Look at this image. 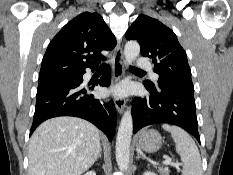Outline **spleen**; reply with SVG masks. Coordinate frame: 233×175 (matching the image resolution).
Returning <instances> with one entry per match:
<instances>
[{"mask_svg": "<svg viewBox=\"0 0 233 175\" xmlns=\"http://www.w3.org/2000/svg\"><path fill=\"white\" fill-rule=\"evenodd\" d=\"M162 128L173 138L183 164L182 175H203L200 153L191 136L178 126L163 124Z\"/></svg>", "mask_w": 233, "mask_h": 175, "instance_id": "1", "label": "spleen"}]
</instances>
